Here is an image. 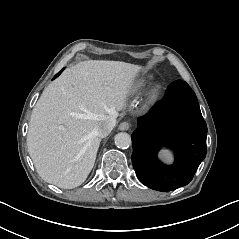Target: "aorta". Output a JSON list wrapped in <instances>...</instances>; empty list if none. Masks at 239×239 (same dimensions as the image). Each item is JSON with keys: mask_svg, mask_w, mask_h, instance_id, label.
<instances>
[{"mask_svg": "<svg viewBox=\"0 0 239 239\" xmlns=\"http://www.w3.org/2000/svg\"><path fill=\"white\" fill-rule=\"evenodd\" d=\"M115 145L122 149L128 148L131 145V136L125 132H120L116 134Z\"/></svg>", "mask_w": 239, "mask_h": 239, "instance_id": "aorta-1", "label": "aorta"}]
</instances>
